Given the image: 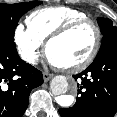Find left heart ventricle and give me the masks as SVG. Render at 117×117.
I'll return each mask as SVG.
<instances>
[{"mask_svg":"<svg viewBox=\"0 0 117 117\" xmlns=\"http://www.w3.org/2000/svg\"><path fill=\"white\" fill-rule=\"evenodd\" d=\"M95 42V31L85 25L55 41L49 49V58L61 67H67L84 60Z\"/></svg>","mask_w":117,"mask_h":117,"instance_id":"b2bd125f","label":"left heart ventricle"}]
</instances>
